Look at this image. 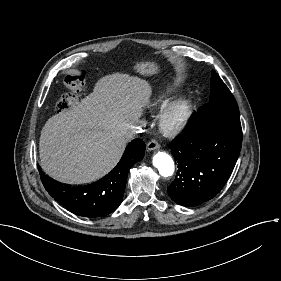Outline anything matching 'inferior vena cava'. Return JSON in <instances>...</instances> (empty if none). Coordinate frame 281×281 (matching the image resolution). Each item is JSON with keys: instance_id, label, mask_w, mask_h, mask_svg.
Instances as JSON below:
<instances>
[{"instance_id": "obj_1", "label": "inferior vena cava", "mask_w": 281, "mask_h": 281, "mask_svg": "<svg viewBox=\"0 0 281 281\" xmlns=\"http://www.w3.org/2000/svg\"><path fill=\"white\" fill-rule=\"evenodd\" d=\"M133 134H135V132H134V131H132V134H131V139L133 138Z\"/></svg>"}]
</instances>
